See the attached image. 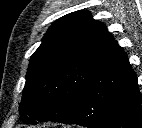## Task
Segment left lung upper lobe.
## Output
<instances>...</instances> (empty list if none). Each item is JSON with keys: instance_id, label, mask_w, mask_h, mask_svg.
Here are the masks:
<instances>
[{"instance_id": "5c2ea615", "label": "left lung upper lobe", "mask_w": 142, "mask_h": 128, "mask_svg": "<svg viewBox=\"0 0 142 128\" xmlns=\"http://www.w3.org/2000/svg\"><path fill=\"white\" fill-rule=\"evenodd\" d=\"M122 48L86 10L57 20L30 59L19 106L24 123L65 118L85 86Z\"/></svg>"}]
</instances>
